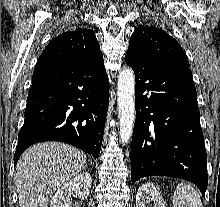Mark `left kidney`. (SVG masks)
Here are the masks:
<instances>
[{
    "label": "left kidney",
    "mask_w": 220,
    "mask_h": 207,
    "mask_svg": "<svg viewBox=\"0 0 220 207\" xmlns=\"http://www.w3.org/2000/svg\"><path fill=\"white\" fill-rule=\"evenodd\" d=\"M154 202V207H165L162 196L159 190L151 184H143L136 194V207H147L149 202Z\"/></svg>",
    "instance_id": "left-kidney-1"
}]
</instances>
